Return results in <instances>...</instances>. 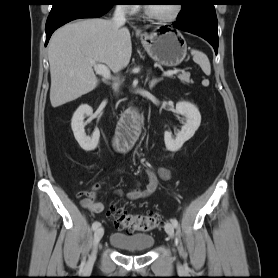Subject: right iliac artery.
Listing matches in <instances>:
<instances>
[{
  "label": "right iliac artery",
  "mask_w": 278,
  "mask_h": 278,
  "mask_svg": "<svg viewBox=\"0 0 278 278\" xmlns=\"http://www.w3.org/2000/svg\"><path fill=\"white\" fill-rule=\"evenodd\" d=\"M99 226H100V223H99L98 221H95V222L92 224V229H93V230H96Z\"/></svg>",
  "instance_id": "82829eb1"
}]
</instances>
